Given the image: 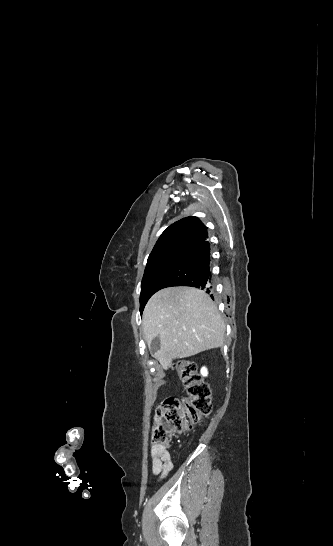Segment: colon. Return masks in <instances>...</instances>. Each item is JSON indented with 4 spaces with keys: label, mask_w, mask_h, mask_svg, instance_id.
Masks as SVG:
<instances>
[{
    "label": "colon",
    "mask_w": 333,
    "mask_h": 546,
    "mask_svg": "<svg viewBox=\"0 0 333 546\" xmlns=\"http://www.w3.org/2000/svg\"><path fill=\"white\" fill-rule=\"evenodd\" d=\"M187 391L186 399L166 398L157 408L152 430V442L168 447L174 433L191 430L207 417L212 409L211 390L200 376L197 366L190 360L174 364Z\"/></svg>",
    "instance_id": "5ec220e1"
}]
</instances>
